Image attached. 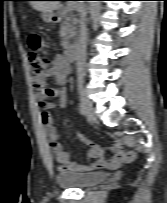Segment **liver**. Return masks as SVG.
Instances as JSON below:
<instances>
[{
    "label": "liver",
    "instance_id": "liver-1",
    "mask_svg": "<svg viewBox=\"0 0 167 203\" xmlns=\"http://www.w3.org/2000/svg\"><path fill=\"white\" fill-rule=\"evenodd\" d=\"M30 5L37 11L49 12L57 9L59 6L58 1H32Z\"/></svg>",
    "mask_w": 167,
    "mask_h": 203
}]
</instances>
